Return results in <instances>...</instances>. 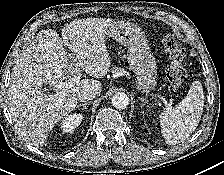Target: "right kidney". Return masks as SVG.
<instances>
[{"label":"right kidney","mask_w":224,"mask_h":175,"mask_svg":"<svg viewBox=\"0 0 224 175\" xmlns=\"http://www.w3.org/2000/svg\"><path fill=\"white\" fill-rule=\"evenodd\" d=\"M82 119L83 116L81 114L76 113L70 114L62 120L60 128L65 133L72 132L75 128H77L80 125Z\"/></svg>","instance_id":"ca27d5eb"}]
</instances>
